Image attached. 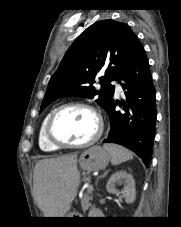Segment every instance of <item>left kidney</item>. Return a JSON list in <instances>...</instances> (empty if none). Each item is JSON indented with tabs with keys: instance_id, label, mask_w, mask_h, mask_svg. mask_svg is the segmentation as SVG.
<instances>
[{
	"instance_id": "1",
	"label": "left kidney",
	"mask_w": 181,
	"mask_h": 227,
	"mask_svg": "<svg viewBox=\"0 0 181 227\" xmlns=\"http://www.w3.org/2000/svg\"><path fill=\"white\" fill-rule=\"evenodd\" d=\"M116 184H124L121 192L116 189ZM106 189L112 194H122L128 204L133 203L136 197L134 178L125 170H120L112 174L106 184Z\"/></svg>"
}]
</instances>
